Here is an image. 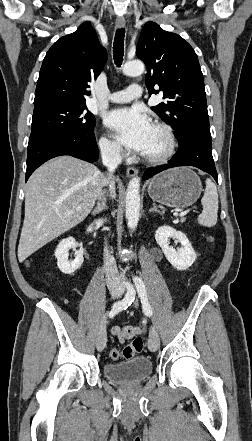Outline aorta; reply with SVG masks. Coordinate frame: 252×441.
I'll use <instances>...</instances> for the list:
<instances>
[{
    "label": "aorta",
    "instance_id": "762f6f07",
    "mask_svg": "<svg viewBox=\"0 0 252 441\" xmlns=\"http://www.w3.org/2000/svg\"><path fill=\"white\" fill-rule=\"evenodd\" d=\"M144 63L139 60L126 62L122 71L127 76H139L144 72ZM140 216V178L134 177L130 180L125 198V217L127 225L134 230Z\"/></svg>",
    "mask_w": 252,
    "mask_h": 441
}]
</instances>
